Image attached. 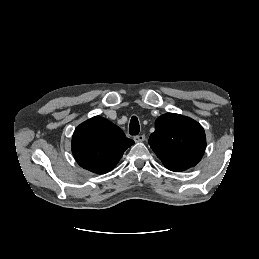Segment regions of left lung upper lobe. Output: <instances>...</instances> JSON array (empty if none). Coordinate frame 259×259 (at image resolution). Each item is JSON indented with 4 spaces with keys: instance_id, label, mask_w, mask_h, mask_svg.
<instances>
[{
    "instance_id": "obj_1",
    "label": "left lung upper lobe",
    "mask_w": 259,
    "mask_h": 259,
    "mask_svg": "<svg viewBox=\"0 0 259 259\" xmlns=\"http://www.w3.org/2000/svg\"><path fill=\"white\" fill-rule=\"evenodd\" d=\"M149 145L168 169L185 170L195 166L206 148V136L195 120L166 113L155 121Z\"/></svg>"
}]
</instances>
